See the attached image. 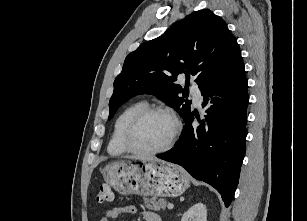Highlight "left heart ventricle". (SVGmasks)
Instances as JSON below:
<instances>
[{
    "label": "left heart ventricle",
    "instance_id": "1",
    "mask_svg": "<svg viewBox=\"0 0 307 221\" xmlns=\"http://www.w3.org/2000/svg\"><path fill=\"white\" fill-rule=\"evenodd\" d=\"M173 129V121L168 116L162 114L148 115L135 130L134 144L145 150L159 148L170 138Z\"/></svg>",
    "mask_w": 307,
    "mask_h": 221
}]
</instances>
